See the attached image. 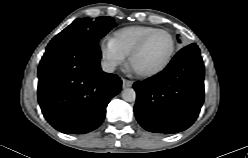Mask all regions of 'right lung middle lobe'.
<instances>
[{"label": "right lung middle lobe", "mask_w": 248, "mask_h": 158, "mask_svg": "<svg viewBox=\"0 0 248 158\" xmlns=\"http://www.w3.org/2000/svg\"><path fill=\"white\" fill-rule=\"evenodd\" d=\"M115 26L116 23L112 17L102 16L95 21H91L88 18H77L53 39H88L97 43L100 38L105 36Z\"/></svg>", "instance_id": "obj_1"}]
</instances>
